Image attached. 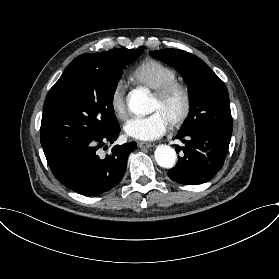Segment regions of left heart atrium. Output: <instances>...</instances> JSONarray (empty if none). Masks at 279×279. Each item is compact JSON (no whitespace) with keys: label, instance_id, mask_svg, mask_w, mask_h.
Segmentation results:
<instances>
[{"label":"left heart atrium","instance_id":"39dd6f15","mask_svg":"<svg viewBox=\"0 0 279 279\" xmlns=\"http://www.w3.org/2000/svg\"><path fill=\"white\" fill-rule=\"evenodd\" d=\"M170 123L160 111L145 117H134L124 125L125 134L139 141H154L162 137Z\"/></svg>","mask_w":279,"mask_h":279}]
</instances>
